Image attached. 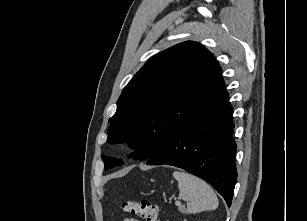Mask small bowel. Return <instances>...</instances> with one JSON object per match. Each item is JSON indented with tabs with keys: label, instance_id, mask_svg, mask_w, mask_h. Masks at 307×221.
Listing matches in <instances>:
<instances>
[{
	"label": "small bowel",
	"instance_id": "obj_1",
	"mask_svg": "<svg viewBox=\"0 0 307 221\" xmlns=\"http://www.w3.org/2000/svg\"><path fill=\"white\" fill-rule=\"evenodd\" d=\"M124 221H138V220L133 219V218H127V219H125Z\"/></svg>",
	"mask_w": 307,
	"mask_h": 221
}]
</instances>
